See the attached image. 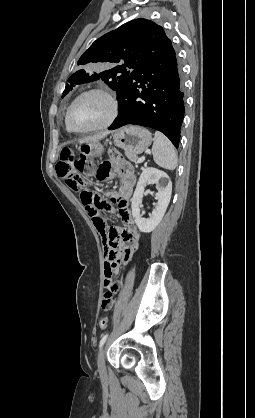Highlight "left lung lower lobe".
Here are the masks:
<instances>
[{
    "instance_id": "1",
    "label": "left lung lower lobe",
    "mask_w": 255,
    "mask_h": 418,
    "mask_svg": "<svg viewBox=\"0 0 255 418\" xmlns=\"http://www.w3.org/2000/svg\"><path fill=\"white\" fill-rule=\"evenodd\" d=\"M117 98L119 114L110 130L142 125L164 133L179 146L185 110L183 79L171 41L130 73Z\"/></svg>"
}]
</instances>
